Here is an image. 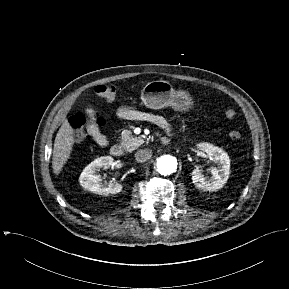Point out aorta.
I'll return each instance as SVG.
<instances>
[{"label":"aorta","mask_w":289,"mask_h":289,"mask_svg":"<svg viewBox=\"0 0 289 289\" xmlns=\"http://www.w3.org/2000/svg\"><path fill=\"white\" fill-rule=\"evenodd\" d=\"M157 170L161 175H170L176 172L178 160L172 155H163L157 159Z\"/></svg>","instance_id":"762f6f07"}]
</instances>
